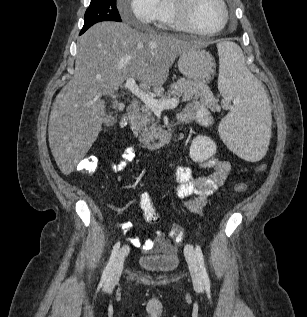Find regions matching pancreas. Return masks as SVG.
I'll return each instance as SVG.
<instances>
[{"mask_svg": "<svg viewBox=\"0 0 307 317\" xmlns=\"http://www.w3.org/2000/svg\"><path fill=\"white\" fill-rule=\"evenodd\" d=\"M156 94L160 97V100L182 97V101L186 102L191 99L207 98L210 92L201 82L180 78L172 84L171 90L165 95H163L161 89H157ZM211 102V105L216 104L215 100ZM211 109L219 110L220 108L216 105L211 107ZM131 128L135 134H139V140L146 144L154 140H162L161 127L156 122L154 111L147 105H142L140 112L131 118Z\"/></svg>", "mask_w": 307, "mask_h": 317, "instance_id": "cf45deb5", "label": "pancreas"}]
</instances>
